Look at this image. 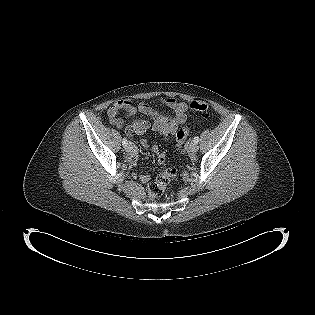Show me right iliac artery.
<instances>
[{
    "mask_svg": "<svg viewBox=\"0 0 315 315\" xmlns=\"http://www.w3.org/2000/svg\"><path fill=\"white\" fill-rule=\"evenodd\" d=\"M122 144H123V146H124V147H126V146H127L128 141H127V139H126V138H123V140H122Z\"/></svg>",
    "mask_w": 315,
    "mask_h": 315,
    "instance_id": "1",
    "label": "right iliac artery"
}]
</instances>
